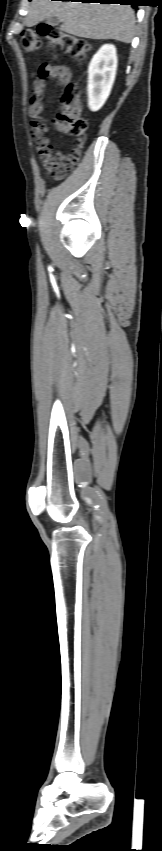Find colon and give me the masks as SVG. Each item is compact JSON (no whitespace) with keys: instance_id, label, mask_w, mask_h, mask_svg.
<instances>
[{"instance_id":"obj_1","label":"colon","mask_w":162,"mask_h":851,"mask_svg":"<svg viewBox=\"0 0 162 851\" xmlns=\"http://www.w3.org/2000/svg\"><path fill=\"white\" fill-rule=\"evenodd\" d=\"M41 38H45L51 48H59L76 60L84 59L91 50V44L83 38L67 33L58 26L44 25L38 31L25 30L21 34V44L25 53L33 54L41 48ZM61 112L57 121L63 131L74 138V148L68 159L53 171L56 180L63 179L79 161L81 148L85 141L87 122L81 114L79 94L73 84H69L61 97Z\"/></svg>"}]
</instances>
